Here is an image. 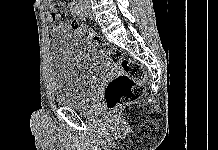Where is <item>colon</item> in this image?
I'll return each mask as SVG.
<instances>
[{
	"label": "colon",
	"instance_id": "1",
	"mask_svg": "<svg viewBox=\"0 0 218 150\" xmlns=\"http://www.w3.org/2000/svg\"><path fill=\"white\" fill-rule=\"evenodd\" d=\"M71 27L85 35L111 62L121 68V73L105 87L104 99L108 110L116 111L143 95L145 72L139 63L124 57L119 49L111 46L88 26L73 21Z\"/></svg>",
	"mask_w": 218,
	"mask_h": 150
}]
</instances>
